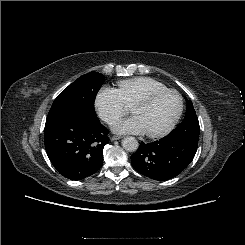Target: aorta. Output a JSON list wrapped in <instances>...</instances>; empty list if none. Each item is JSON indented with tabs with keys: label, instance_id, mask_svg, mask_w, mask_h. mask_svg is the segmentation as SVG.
<instances>
[{
	"label": "aorta",
	"instance_id": "1",
	"mask_svg": "<svg viewBox=\"0 0 245 245\" xmlns=\"http://www.w3.org/2000/svg\"><path fill=\"white\" fill-rule=\"evenodd\" d=\"M122 147L128 152H135L139 147V143L135 137L127 136L122 140Z\"/></svg>",
	"mask_w": 245,
	"mask_h": 245
}]
</instances>
